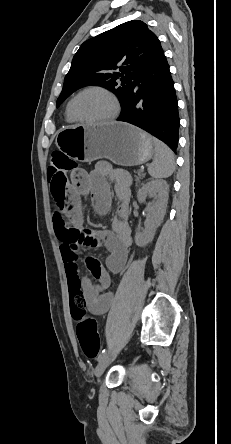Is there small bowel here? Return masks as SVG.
<instances>
[{
	"label": "small bowel",
	"instance_id": "small-bowel-1",
	"mask_svg": "<svg viewBox=\"0 0 231 444\" xmlns=\"http://www.w3.org/2000/svg\"><path fill=\"white\" fill-rule=\"evenodd\" d=\"M50 182L52 194L57 202L58 211L53 215V226L60 240V251L68 286L78 283L86 299L89 312L93 315L105 314L113 301V295L105 292L111 282V275L121 272L128 257L131 245L130 227L128 225V203L131 193V179L117 172L106 163L97 164L90 173L75 171L72 179L57 188ZM110 183L114 185L120 201L116 218L110 230L94 233L81 228L82 219L81 195H90L92 205L100 213H106L111 204ZM102 246L107 256L102 265L96 258L88 257L86 269L97 281L90 280L79 264L81 249Z\"/></svg>",
	"mask_w": 231,
	"mask_h": 444
}]
</instances>
